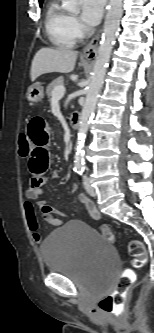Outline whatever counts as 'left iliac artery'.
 <instances>
[{"label":"left iliac artery","instance_id":"obj_1","mask_svg":"<svg viewBox=\"0 0 154 333\" xmlns=\"http://www.w3.org/2000/svg\"><path fill=\"white\" fill-rule=\"evenodd\" d=\"M82 173H83V171H82V172H80L79 174H80V175H82Z\"/></svg>","mask_w":154,"mask_h":333}]
</instances>
